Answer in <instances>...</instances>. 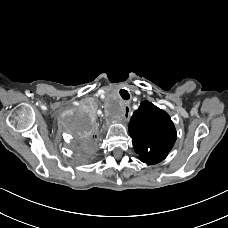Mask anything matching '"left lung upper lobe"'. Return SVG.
<instances>
[{"instance_id":"1","label":"left lung upper lobe","mask_w":228,"mask_h":228,"mask_svg":"<svg viewBox=\"0 0 228 228\" xmlns=\"http://www.w3.org/2000/svg\"><path fill=\"white\" fill-rule=\"evenodd\" d=\"M129 134L138 158L147 164L164 160L177 138L170 116L149 101L142 102L134 111Z\"/></svg>"}]
</instances>
